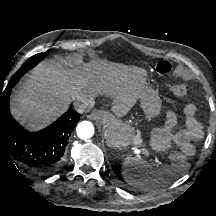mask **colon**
<instances>
[{
  "label": "colon",
  "instance_id": "obj_1",
  "mask_svg": "<svg viewBox=\"0 0 216 216\" xmlns=\"http://www.w3.org/2000/svg\"><path fill=\"white\" fill-rule=\"evenodd\" d=\"M155 70L161 76H169L173 66L169 62L159 61L155 64ZM172 91L177 98L184 100L188 94V87L185 83H176L172 86Z\"/></svg>",
  "mask_w": 216,
  "mask_h": 216
}]
</instances>
